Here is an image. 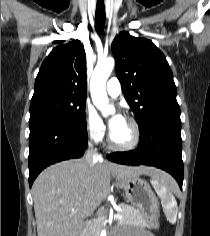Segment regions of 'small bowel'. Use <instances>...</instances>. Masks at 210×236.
I'll list each match as a JSON object with an SVG mask.
<instances>
[{
  "label": "small bowel",
  "instance_id": "1",
  "mask_svg": "<svg viewBox=\"0 0 210 236\" xmlns=\"http://www.w3.org/2000/svg\"><path fill=\"white\" fill-rule=\"evenodd\" d=\"M115 236H153V235L148 232H125L121 229H116Z\"/></svg>",
  "mask_w": 210,
  "mask_h": 236
}]
</instances>
